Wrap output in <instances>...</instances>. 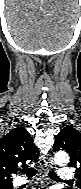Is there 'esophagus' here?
<instances>
[{"label":"esophagus","instance_id":"obj_1","mask_svg":"<svg viewBox=\"0 0 81 189\" xmlns=\"http://www.w3.org/2000/svg\"><path fill=\"white\" fill-rule=\"evenodd\" d=\"M45 167H46V171H49L50 169L56 168V165H55V163L53 162V160L50 158V159L48 160V162L45 164Z\"/></svg>","mask_w":81,"mask_h":189}]
</instances>
